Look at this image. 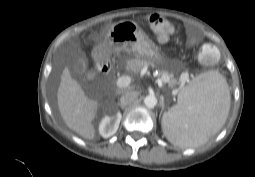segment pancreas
Instances as JSON below:
<instances>
[{"instance_id": "obj_1", "label": "pancreas", "mask_w": 255, "mask_h": 177, "mask_svg": "<svg viewBox=\"0 0 255 177\" xmlns=\"http://www.w3.org/2000/svg\"><path fill=\"white\" fill-rule=\"evenodd\" d=\"M152 64L151 61H149L146 58H134L131 60L127 61L126 64V69L127 71H131V72H139L144 66H148ZM159 75L161 76V79L164 83H168L170 88H174L179 82L174 78L173 74H169L166 71H161L159 73Z\"/></svg>"}]
</instances>
